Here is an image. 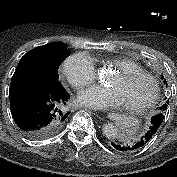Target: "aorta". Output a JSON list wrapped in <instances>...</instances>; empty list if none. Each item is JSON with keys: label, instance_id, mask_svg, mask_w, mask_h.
<instances>
[{"label": "aorta", "instance_id": "obj_1", "mask_svg": "<svg viewBox=\"0 0 177 177\" xmlns=\"http://www.w3.org/2000/svg\"><path fill=\"white\" fill-rule=\"evenodd\" d=\"M103 134L108 139L116 138L118 134V128L113 123H106L102 128Z\"/></svg>", "mask_w": 177, "mask_h": 177}]
</instances>
